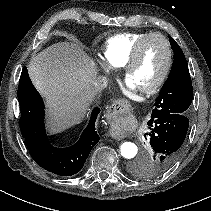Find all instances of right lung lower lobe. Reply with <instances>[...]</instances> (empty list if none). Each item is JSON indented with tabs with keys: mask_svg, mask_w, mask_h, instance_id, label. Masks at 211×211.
<instances>
[{
	"mask_svg": "<svg viewBox=\"0 0 211 211\" xmlns=\"http://www.w3.org/2000/svg\"><path fill=\"white\" fill-rule=\"evenodd\" d=\"M18 100L21 133L34 161L42 168L60 176L78 173L100 139L95 130V121L100 109L93 110L89 125L76 144L67 148H56L50 144L46 135L44 103L32 85L26 67L23 68L19 80Z\"/></svg>",
	"mask_w": 211,
	"mask_h": 211,
	"instance_id": "98d812e1",
	"label": "right lung lower lobe"
}]
</instances>
